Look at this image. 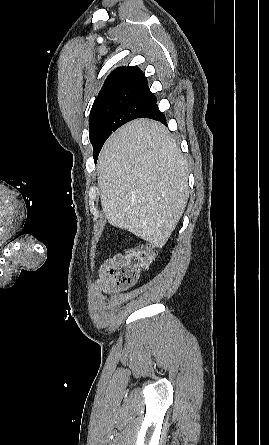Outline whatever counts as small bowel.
<instances>
[{"mask_svg": "<svg viewBox=\"0 0 269 445\" xmlns=\"http://www.w3.org/2000/svg\"><path fill=\"white\" fill-rule=\"evenodd\" d=\"M122 254H116L105 259L99 268V277L94 283V287L102 294L109 295L117 291L112 279V270L118 264Z\"/></svg>", "mask_w": 269, "mask_h": 445, "instance_id": "c3829d8e", "label": "small bowel"}]
</instances>
